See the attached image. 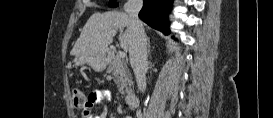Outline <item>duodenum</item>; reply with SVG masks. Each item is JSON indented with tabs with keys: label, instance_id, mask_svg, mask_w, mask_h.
Instances as JSON below:
<instances>
[{
	"label": "duodenum",
	"instance_id": "obj_1",
	"mask_svg": "<svg viewBox=\"0 0 273 118\" xmlns=\"http://www.w3.org/2000/svg\"><path fill=\"white\" fill-rule=\"evenodd\" d=\"M125 103L129 107H137L139 104V96L134 91H129L124 96Z\"/></svg>",
	"mask_w": 273,
	"mask_h": 118
}]
</instances>
